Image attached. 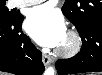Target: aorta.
Masks as SVG:
<instances>
[{
	"instance_id": "aorta-1",
	"label": "aorta",
	"mask_w": 102,
	"mask_h": 75,
	"mask_svg": "<svg viewBox=\"0 0 102 75\" xmlns=\"http://www.w3.org/2000/svg\"><path fill=\"white\" fill-rule=\"evenodd\" d=\"M44 75H55V70L53 67H48L45 72Z\"/></svg>"
}]
</instances>
